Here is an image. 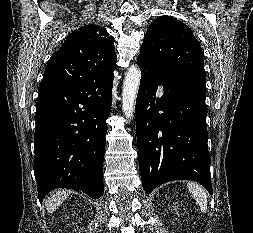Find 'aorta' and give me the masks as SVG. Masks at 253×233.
<instances>
[{
	"mask_svg": "<svg viewBox=\"0 0 253 233\" xmlns=\"http://www.w3.org/2000/svg\"><path fill=\"white\" fill-rule=\"evenodd\" d=\"M141 71L135 66L128 68L122 90V110L127 119L133 118L134 105L140 85Z\"/></svg>",
	"mask_w": 253,
	"mask_h": 233,
	"instance_id": "1",
	"label": "aorta"
}]
</instances>
